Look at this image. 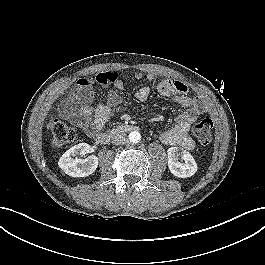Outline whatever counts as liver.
<instances>
[{
    "instance_id": "liver-1",
    "label": "liver",
    "mask_w": 265,
    "mask_h": 265,
    "mask_svg": "<svg viewBox=\"0 0 265 265\" xmlns=\"http://www.w3.org/2000/svg\"><path fill=\"white\" fill-rule=\"evenodd\" d=\"M51 125H52V124H51V122H50V123L48 124V128H51Z\"/></svg>"
}]
</instances>
